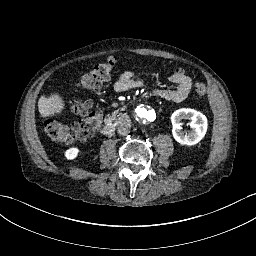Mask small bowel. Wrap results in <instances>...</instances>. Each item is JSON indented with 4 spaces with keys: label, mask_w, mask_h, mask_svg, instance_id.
I'll use <instances>...</instances> for the list:
<instances>
[{
    "label": "small bowel",
    "mask_w": 256,
    "mask_h": 256,
    "mask_svg": "<svg viewBox=\"0 0 256 256\" xmlns=\"http://www.w3.org/2000/svg\"><path fill=\"white\" fill-rule=\"evenodd\" d=\"M169 80L176 84L173 89H157L154 90V95L173 102H181L185 100L192 90V80L184 73H174L169 77ZM144 84L141 81L133 78V73L130 71L123 72L115 81L114 88L116 91L123 92L133 89H141Z\"/></svg>",
    "instance_id": "small-bowel-1"
}]
</instances>
